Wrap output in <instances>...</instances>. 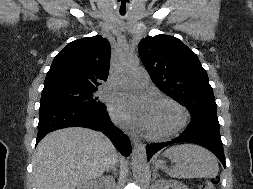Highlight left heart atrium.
<instances>
[{
    "instance_id": "left-heart-atrium-1",
    "label": "left heart atrium",
    "mask_w": 253,
    "mask_h": 189,
    "mask_svg": "<svg viewBox=\"0 0 253 189\" xmlns=\"http://www.w3.org/2000/svg\"><path fill=\"white\" fill-rule=\"evenodd\" d=\"M151 110L152 105L147 97L128 94L115 98L111 106L113 118L119 124L133 128H147Z\"/></svg>"
}]
</instances>
